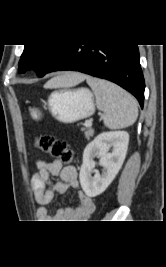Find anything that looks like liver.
Wrapping results in <instances>:
<instances>
[{
    "mask_svg": "<svg viewBox=\"0 0 166 267\" xmlns=\"http://www.w3.org/2000/svg\"><path fill=\"white\" fill-rule=\"evenodd\" d=\"M86 78L87 76L81 73H67L51 79L44 85V88L72 87L83 82Z\"/></svg>",
    "mask_w": 166,
    "mask_h": 267,
    "instance_id": "obj_1",
    "label": "liver"
}]
</instances>
